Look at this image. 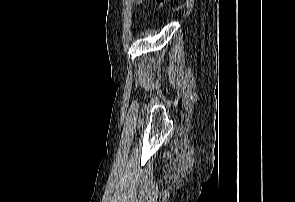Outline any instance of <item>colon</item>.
<instances>
[{
    "instance_id": "obj_1",
    "label": "colon",
    "mask_w": 295,
    "mask_h": 202,
    "mask_svg": "<svg viewBox=\"0 0 295 202\" xmlns=\"http://www.w3.org/2000/svg\"><path fill=\"white\" fill-rule=\"evenodd\" d=\"M167 2V0H155V5L158 9H161L165 3Z\"/></svg>"
}]
</instances>
